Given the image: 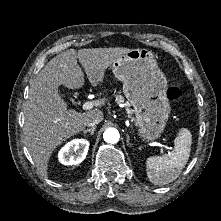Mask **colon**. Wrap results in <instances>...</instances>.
I'll list each match as a JSON object with an SVG mask.
<instances>
[{
  "label": "colon",
  "mask_w": 221,
  "mask_h": 221,
  "mask_svg": "<svg viewBox=\"0 0 221 221\" xmlns=\"http://www.w3.org/2000/svg\"><path fill=\"white\" fill-rule=\"evenodd\" d=\"M166 100L171 103H177L182 98V91L178 85H171L165 94Z\"/></svg>",
  "instance_id": "obj_1"
}]
</instances>
